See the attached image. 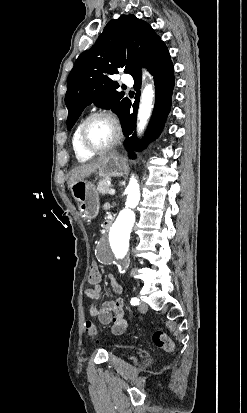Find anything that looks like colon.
Returning <instances> with one entry per match:
<instances>
[{
  "mask_svg": "<svg viewBox=\"0 0 247 413\" xmlns=\"http://www.w3.org/2000/svg\"><path fill=\"white\" fill-rule=\"evenodd\" d=\"M101 282V275L96 273V264L90 263L88 265V285L96 286ZM84 331L87 336L95 339L97 337V328L92 320L85 321ZM152 341H155L157 347H161L162 351H165L167 355H176L178 349L174 346V343L169 340L168 335L162 330H154L152 334Z\"/></svg>",
  "mask_w": 247,
  "mask_h": 413,
  "instance_id": "5ec220e1",
  "label": "colon"
}]
</instances>
